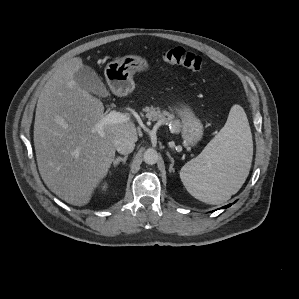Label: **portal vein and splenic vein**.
Segmentation results:
<instances>
[{"label":"portal vein and splenic vein","mask_w":299,"mask_h":299,"mask_svg":"<svg viewBox=\"0 0 299 299\" xmlns=\"http://www.w3.org/2000/svg\"><path fill=\"white\" fill-rule=\"evenodd\" d=\"M129 121V117L123 113L115 110L110 111L105 115L95 126V130L101 133L105 125L108 124H121Z\"/></svg>","instance_id":"18ae733b"}]
</instances>
